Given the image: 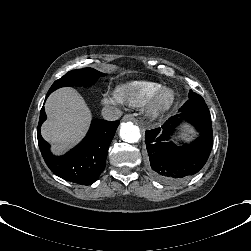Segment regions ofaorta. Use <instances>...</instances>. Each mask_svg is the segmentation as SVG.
Instances as JSON below:
<instances>
[{
    "label": "aorta",
    "instance_id": "762f6f07",
    "mask_svg": "<svg viewBox=\"0 0 251 251\" xmlns=\"http://www.w3.org/2000/svg\"><path fill=\"white\" fill-rule=\"evenodd\" d=\"M120 137L126 142H136L140 138L138 126L132 122H124L120 126Z\"/></svg>",
    "mask_w": 251,
    "mask_h": 251
}]
</instances>
